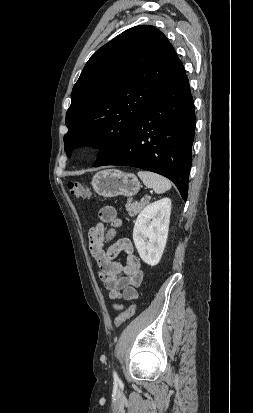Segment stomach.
I'll list each match as a JSON object with an SVG mask.
<instances>
[{"instance_id":"1","label":"stomach","mask_w":253,"mask_h":413,"mask_svg":"<svg viewBox=\"0 0 253 413\" xmlns=\"http://www.w3.org/2000/svg\"><path fill=\"white\" fill-rule=\"evenodd\" d=\"M91 185L94 191L104 198L119 195L131 197L140 189V182L135 174L117 169L97 172L92 178Z\"/></svg>"}]
</instances>
